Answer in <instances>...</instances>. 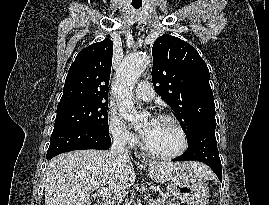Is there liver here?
Returning <instances> with one entry per match:
<instances>
[{"mask_svg":"<svg viewBox=\"0 0 269 205\" xmlns=\"http://www.w3.org/2000/svg\"><path fill=\"white\" fill-rule=\"evenodd\" d=\"M155 182H166L173 173L190 171L212 178L199 162H149L140 166ZM136 174L130 159H118L109 151L79 150L53 158L46 170L45 205H91L95 190L107 186L113 199L134 185Z\"/></svg>","mask_w":269,"mask_h":205,"instance_id":"1","label":"liver"}]
</instances>
